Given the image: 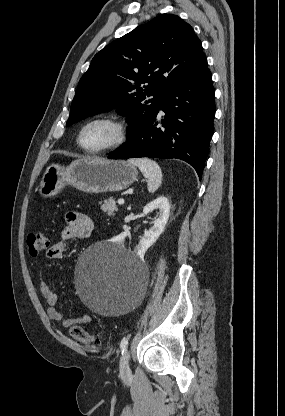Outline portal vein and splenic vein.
I'll use <instances>...</instances> for the list:
<instances>
[{
	"label": "portal vein and splenic vein",
	"instance_id": "portal-vein-and-splenic-vein-1",
	"mask_svg": "<svg viewBox=\"0 0 285 416\" xmlns=\"http://www.w3.org/2000/svg\"><path fill=\"white\" fill-rule=\"evenodd\" d=\"M118 204H124V200H118Z\"/></svg>",
	"mask_w": 285,
	"mask_h": 416
}]
</instances>
